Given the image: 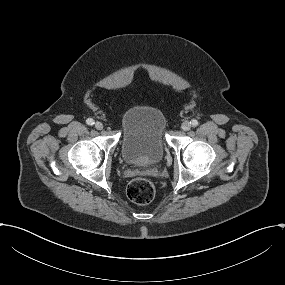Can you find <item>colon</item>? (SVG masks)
<instances>
[{"label": "colon", "mask_w": 285, "mask_h": 285, "mask_svg": "<svg viewBox=\"0 0 285 285\" xmlns=\"http://www.w3.org/2000/svg\"><path fill=\"white\" fill-rule=\"evenodd\" d=\"M154 195V185L147 179H134L127 186L128 198L138 205L148 204L153 200Z\"/></svg>", "instance_id": "1"}]
</instances>
